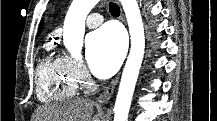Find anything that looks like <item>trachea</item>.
I'll return each instance as SVG.
<instances>
[{
  "instance_id": "1",
  "label": "trachea",
  "mask_w": 217,
  "mask_h": 121,
  "mask_svg": "<svg viewBox=\"0 0 217 121\" xmlns=\"http://www.w3.org/2000/svg\"><path fill=\"white\" fill-rule=\"evenodd\" d=\"M109 11L113 16H118L120 14V8L116 3L110 2Z\"/></svg>"
}]
</instances>
